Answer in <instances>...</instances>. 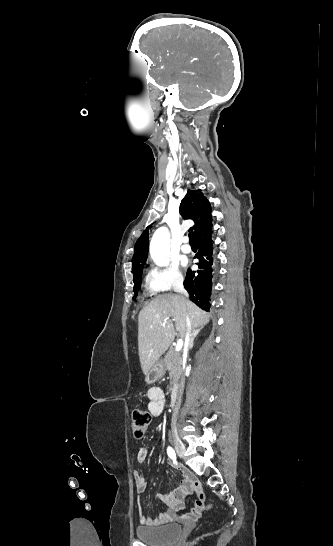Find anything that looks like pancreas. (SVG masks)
Returning a JSON list of instances; mask_svg holds the SVG:
<instances>
[{
	"mask_svg": "<svg viewBox=\"0 0 333 546\" xmlns=\"http://www.w3.org/2000/svg\"><path fill=\"white\" fill-rule=\"evenodd\" d=\"M163 361L165 370L169 371L170 384H177L183 373L181 354L171 348Z\"/></svg>",
	"mask_w": 333,
	"mask_h": 546,
	"instance_id": "pancreas-1",
	"label": "pancreas"
}]
</instances>
